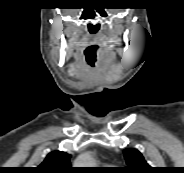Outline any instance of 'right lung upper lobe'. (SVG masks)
Returning a JSON list of instances; mask_svg holds the SVG:
<instances>
[{
  "instance_id": "1",
  "label": "right lung upper lobe",
  "mask_w": 184,
  "mask_h": 173,
  "mask_svg": "<svg viewBox=\"0 0 184 173\" xmlns=\"http://www.w3.org/2000/svg\"><path fill=\"white\" fill-rule=\"evenodd\" d=\"M70 157L65 152L53 151L34 169L35 173H72L73 169L70 167Z\"/></svg>"
}]
</instances>
